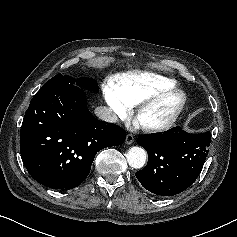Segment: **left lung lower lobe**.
I'll list each match as a JSON object with an SVG mask.
<instances>
[{"label": "left lung lower lobe", "mask_w": 237, "mask_h": 237, "mask_svg": "<svg viewBox=\"0 0 237 237\" xmlns=\"http://www.w3.org/2000/svg\"><path fill=\"white\" fill-rule=\"evenodd\" d=\"M137 143L148 153L146 167L135 173L148 191L172 196L187 189L200 174L210 146V132L190 134L174 127L164 133L143 135Z\"/></svg>", "instance_id": "1"}]
</instances>
